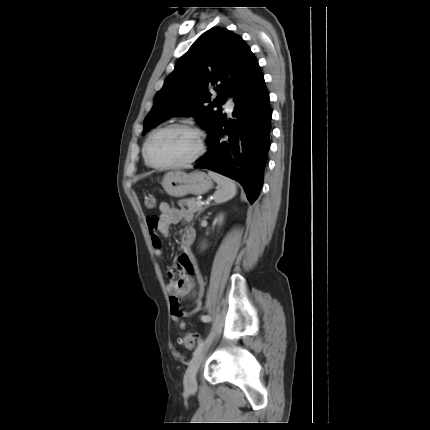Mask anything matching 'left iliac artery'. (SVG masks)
Returning <instances> with one entry per match:
<instances>
[{
    "label": "left iliac artery",
    "mask_w": 430,
    "mask_h": 430,
    "mask_svg": "<svg viewBox=\"0 0 430 430\" xmlns=\"http://www.w3.org/2000/svg\"><path fill=\"white\" fill-rule=\"evenodd\" d=\"M204 322H209V321H211V317L210 316H202V318H201ZM202 346H203V340H200V342H199V344H198V346H197V348L195 349V351L193 352V355H195L201 348H202Z\"/></svg>",
    "instance_id": "left-iliac-artery-1"
}]
</instances>
